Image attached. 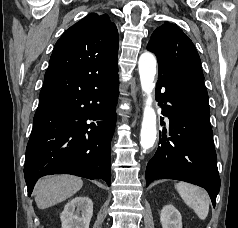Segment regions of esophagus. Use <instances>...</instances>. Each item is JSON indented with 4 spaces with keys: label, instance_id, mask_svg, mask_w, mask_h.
Listing matches in <instances>:
<instances>
[{
    "label": "esophagus",
    "instance_id": "obj_1",
    "mask_svg": "<svg viewBox=\"0 0 238 228\" xmlns=\"http://www.w3.org/2000/svg\"><path fill=\"white\" fill-rule=\"evenodd\" d=\"M137 91H138V87L135 88V92H137Z\"/></svg>",
    "mask_w": 238,
    "mask_h": 228
}]
</instances>
